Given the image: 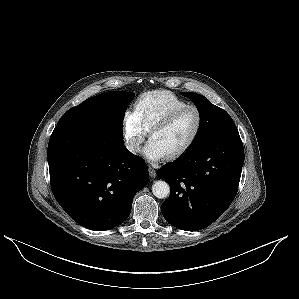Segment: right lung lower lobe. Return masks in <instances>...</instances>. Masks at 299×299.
I'll use <instances>...</instances> for the list:
<instances>
[{
	"mask_svg": "<svg viewBox=\"0 0 299 299\" xmlns=\"http://www.w3.org/2000/svg\"><path fill=\"white\" fill-rule=\"evenodd\" d=\"M47 158L54 197L81 226L103 231L123 223L134 195L149 180L145 162L124 141L102 133L56 127Z\"/></svg>",
	"mask_w": 299,
	"mask_h": 299,
	"instance_id": "obj_1",
	"label": "right lung lower lobe"
}]
</instances>
